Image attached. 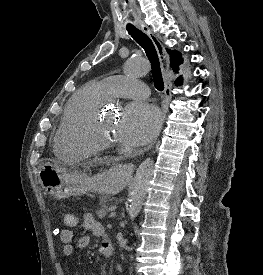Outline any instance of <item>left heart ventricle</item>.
<instances>
[{"label":"left heart ventricle","instance_id":"1","mask_svg":"<svg viewBox=\"0 0 263 275\" xmlns=\"http://www.w3.org/2000/svg\"><path fill=\"white\" fill-rule=\"evenodd\" d=\"M118 119L116 115L107 113L103 114L101 119V133L105 138L114 141H120L117 134Z\"/></svg>","mask_w":263,"mask_h":275}]
</instances>
